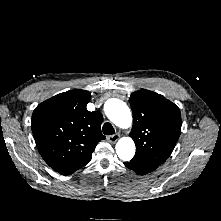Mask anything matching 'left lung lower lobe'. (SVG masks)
I'll use <instances>...</instances> for the list:
<instances>
[{"label": "left lung lower lobe", "instance_id": "left-lung-lower-lobe-1", "mask_svg": "<svg viewBox=\"0 0 221 221\" xmlns=\"http://www.w3.org/2000/svg\"><path fill=\"white\" fill-rule=\"evenodd\" d=\"M124 165L137 174H147L158 168L157 165L149 164L135 159H132L130 162H124Z\"/></svg>", "mask_w": 221, "mask_h": 221}]
</instances>
